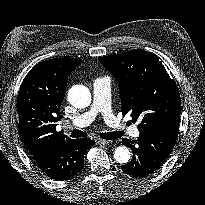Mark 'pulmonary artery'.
Returning a JSON list of instances; mask_svg holds the SVG:
<instances>
[{
	"mask_svg": "<svg viewBox=\"0 0 205 205\" xmlns=\"http://www.w3.org/2000/svg\"><path fill=\"white\" fill-rule=\"evenodd\" d=\"M93 100L90 108L74 118L70 125L77 128H84L91 124L97 115L101 114L107 126L121 130L125 125L118 121L116 114L111 107V89L108 78H96L92 83ZM118 132V131H117ZM133 137L139 136L137 126L130 128Z\"/></svg>",
	"mask_w": 205,
	"mask_h": 205,
	"instance_id": "obj_1",
	"label": "pulmonary artery"
}]
</instances>
